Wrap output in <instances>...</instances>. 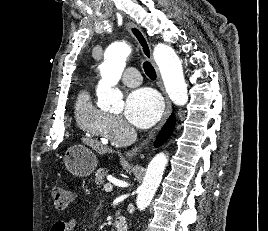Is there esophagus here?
I'll use <instances>...</instances> for the list:
<instances>
[{
  "instance_id": "1",
  "label": "esophagus",
  "mask_w": 268,
  "mask_h": 231,
  "mask_svg": "<svg viewBox=\"0 0 268 231\" xmlns=\"http://www.w3.org/2000/svg\"><path fill=\"white\" fill-rule=\"evenodd\" d=\"M125 27L128 30V32L131 34V36L136 40V42H137L138 46L141 48V51H142L143 55L145 56V58L147 60H149L151 62V64L153 65V67L156 71V74H157V84L160 87L162 93L164 94L165 102H166L165 111H164L163 117H162L161 121L159 122L158 126L139 145L135 146L134 148H132L126 152V157L130 159V158L137 156L141 151H143L145 148H147V146L150 144V142L157 136V134L162 129V127L166 123L167 119L171 115L172 104H171L169 97L167 96V94L165 92L158 67L154 62L151 47H150V44H149L146 36L144 35V33L141 31V29L135 23H132V22L125 23Z\"/></svg>"
}]
</instances>
